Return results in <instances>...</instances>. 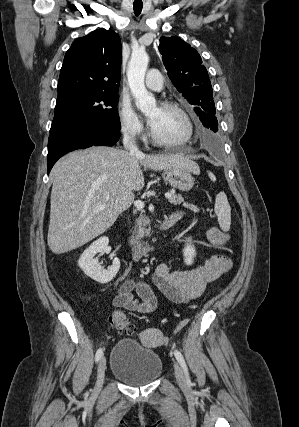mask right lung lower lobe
Returning <instances> with one entry per match:
<instances>
[{
	"instance_id": "right-lung-lower-lobe-1",
	"label": "right lung lower lobe",
	"mask_w": 299,
	"mask_h": 427,
	"mask_svg": "<svg viewBox=\"0 0 299 427\" xmlns=\"http://www.w3.org/2000/svg\"><path fill=\"white\" fill-rule=\"evenodd\" d=\"M120 137L119 130L86 124H75L50 132L48 141V173L64 154L92 145H114Z\"/></svg>"
}]
</instances>
